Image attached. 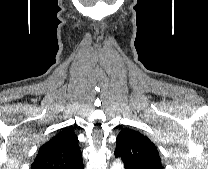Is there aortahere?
Returning <instances> with one entry per match:
<instances>
[{
    "mask_svg": "<svg viewBox=\"0 0 208 169\" xmlns=\"http://www.w3.org/2000/svg\"><path fill=\"white\" fill-rule=\"evenodd\" d=\"M111 169H124V164L120 159L113 162Z\"/></svg>",
    "mask_w": 208,
    "mask_h": 169,
    "instance_id": "762f6f07",
    "label": "aorta"
}]
</instances>
